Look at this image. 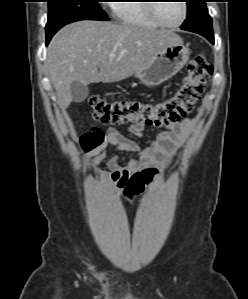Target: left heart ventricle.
Returning <instances> with one entry per match:
<instances>
[{
    "instance_id": "1",
    "label": "left heart ventricle",
    "mask_w": 248,
    "mask_h": 299,
    "mask_svg": "<svg viewBox=\"0 0 248 299\" xmlns=\"http://www.w3.org/2000/svg\"><path fill=\"white\" fill-rule=\"evenodd\" d=\"M159 16L169 24L178 23L183 15L182 3L177 1H164L157 6Z\"/></svg>"
}]
</instances>
